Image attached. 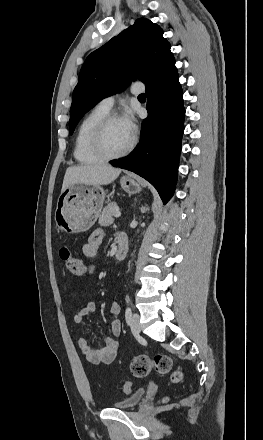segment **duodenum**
<instances>
[{"instance_id": "obj_1", "label": "duodenum", "mask_w": 263, "mask_h": 440, "mask_svg": "<svg viewBox=\"0 0 263 440\" xmlns=\"http://www.w3.org/2000/svg\"><path fill=\"white\" fill-rule=\"evenodd\" d=\"M128 251V243L125 238H119L117 239V247L115 252V259L116 261H122Z\"/></svg>"}]
</instances>
